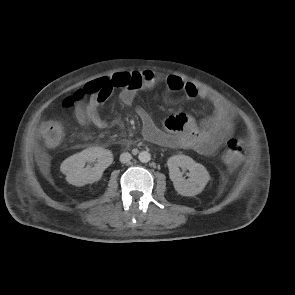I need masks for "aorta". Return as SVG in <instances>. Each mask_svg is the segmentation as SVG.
Returning a JSON list of instances; mask_svg holds the SVG:
<instances>
[{
    "mask_svg": "<svg viewBox=\"0 0 295 295\" xmlns=\"http://www.w3.org/2000/svg\"><path fill=\"white\" fill-rule=\"evenodd\" d=\"M138 159L142 163H147V162H149L151 160V155L147 151H142V152L139 153Z\"/></svg>",
    "mask_w": 295,
    "mask_h": 295,
    "instance_id": "1",
    "label": "aorta"
}]
</instances>
